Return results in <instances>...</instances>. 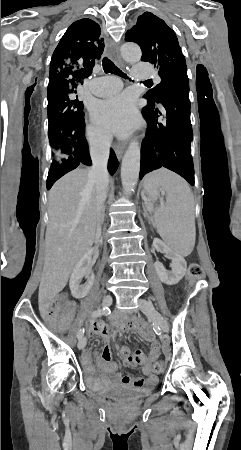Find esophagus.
<instances>
[{
  "label": "esophagus",
  "mask_w": 241,
  "mask_h": 450,
  "mask_svg": "<svg viewBox=\"0 0 241 450\" xmlns=\"http://www.w3.org/2000/svg\"><path fill=\"white\" fill-rule=\"evenodd\" d=\"M111 53H112V55H113V57H114L113 59H114L115 61H118L119 57H118V49H117V47H114V48L111 50ZM124 151H125V146H124V145H120V146L115 147V153H116V155H117L118 158H121V157H122Z\"/></svg>",
  "instance_id": "34e87169"
}]
</instances>
